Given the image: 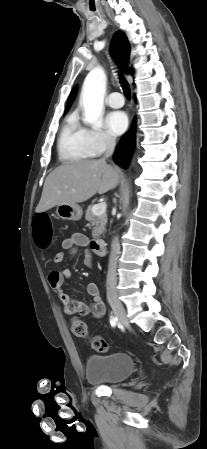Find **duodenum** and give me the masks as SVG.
<instances>
[{
    "instance_id": "1",
    "label": "duodenum",
    "mask_w": 207,
    "mask_h": 449,
    "mask_svg": "<svg viewBox=\"0 0 207 449\" xmlns=\"http://www.w3.org/2000/svg\"><path fill=\"white\" fill-rule=\"evenodd\" d=\"M91 248L96 255L102 256L106 253V242L104 239H95L91 242Z\"/></svg>"
}]
</instances>
